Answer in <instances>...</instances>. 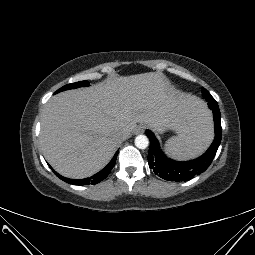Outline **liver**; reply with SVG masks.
<instances>
[{
    "label": "liver",
    "instance_id": "1",
    "mask_svg": "<svg viewBox=\"0 0 255 255\" xmlns=\"http://www.w3.org/2000/svg\"><path fill=\"white\" fill-rule=\"evenodd\" d=\"M200 109L204 104L199 99L176 92L161 73L110 78L59 93L47 102L41 118L42 152L61 175L85 178L107 164L136 123L182 133ZM117 132L126 138L117 140Z\"/></svg>",
    "mask_w": 255,
    "mask_h": 255
}]
</instances>
